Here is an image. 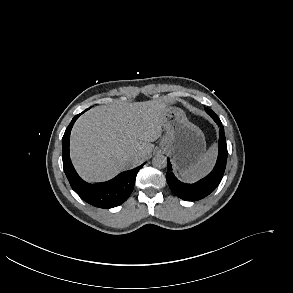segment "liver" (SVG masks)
Listing matches in <instances>:
<instances>
[{
  "mask_svg": "<svg viewBox=\"0 0 293 293\" xmlns=\"http://www.w3.org/2000/svg\"><path fill=\"white\" fill-rule=\"evenodd\" d=\"M167 102H145L98 106L75 123L70 139L73 164L89 182L105 181L145 161L162 134ZM138 155V160L134 156Z\"/></svg>",
  "mask_w": 293,
  "mask_h": 293,
  "instance_id": "obj_1",
  "label": "liver"
}]
</instances>
